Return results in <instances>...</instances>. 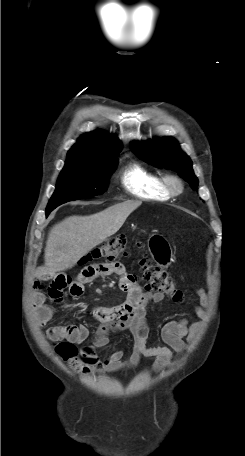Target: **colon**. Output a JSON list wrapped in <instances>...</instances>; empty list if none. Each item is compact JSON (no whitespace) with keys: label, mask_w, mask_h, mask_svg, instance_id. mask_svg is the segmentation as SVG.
Here are the masks:
<instances>
[{"label":"colon","mask_w":245,"mask_h":456,"mask_svg":"<svg viewBox=\"0 0 245 456\" xmlns=\"http://www.w3.org/2000/svg\"><path fill=\"white\" fill-rule=\"evenodd\" d=\"M128 239L120 235L108 240L103 246L95 248L87 256L82 258L81 263L105 259L114 261L117 258L127 256ZM139 245V244H138ZM139 267L143 279L146 282V289L153 292H160L167 295L173 302H182L183 292L177 288L175 282L168 274L150 258L144 256L140 258ZM58 354L73 367L79 366V352L77 348L69 342H63L56 346Z\"/></svg>","instance_id":"colon-1"}]
</instances>
